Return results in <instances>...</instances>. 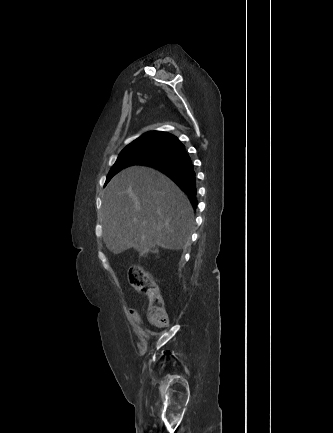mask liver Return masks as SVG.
<instances>
[{
  "label": "liver",
  "mask_w": 333,
  "mask_h": 433,
  "mask_svg": "<svg viewBox=\"0 0 333 433\" xmlns=\"http://www.w3.org/2000/svg\"><path fill=\"white\" fill-rule=\"evenodd\" d=\"M192 218L187 196L167 176L148 167L122 170L102 196L103 238L113 254L134 248L143 256L155 246L182 249Z\"/></svg>",
  "instance_id": "liver-1"
}]
</instances>
